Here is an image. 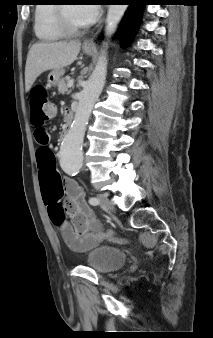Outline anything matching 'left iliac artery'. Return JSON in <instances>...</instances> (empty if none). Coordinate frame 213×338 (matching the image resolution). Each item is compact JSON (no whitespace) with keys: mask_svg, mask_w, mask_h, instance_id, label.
I'll use <instances>...</instances> for the list:
<instances>
[{"mask_svg":"<svg viewBox=\"0 0 213 338\" xmlns=\"http://www.w3.org/2000/svg\"><path fill=\"white\" fill-rule=\"evenodd\" d=\"M89 203L93 206H96L99 204V199L95 198V197H91L89 198Z\"/></svg>","mask_w":213,"mask_h":338,"instance_id":"1","label":"left iliac artery"}]
</instances>
